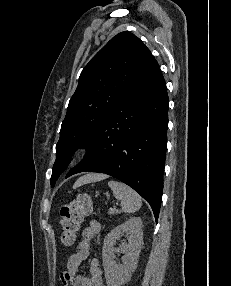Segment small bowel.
<instances>
[{
    "instance_id": "small-bowel-1",
    "label": "small bowel",
    "mask_w": 231,
    "mask_h": 286,
    "mask_svg": "<svg viewBox=\"0 0 231 286\" xmlns=\"http://www.w3.org/2000/svg\"><path fill=\"white\" fill-rule=\"evenodd\" d=\"M100 230L101 224L96 220H91L88 226L83 229L82 238L76 251L69 256L67 268L61 275L63 286H105L98 258L90 260L88 276L78 274L80 265L90 256L91 243Z\"/></svg>"
}]
</instances>
